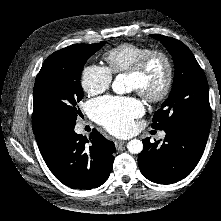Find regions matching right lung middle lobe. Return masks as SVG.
I'll list each match as a JSON object with an SVG mask.
<instances>
[{
	"instance_id": "right-lung-middle-lobe-1",
	"label": "right lung middle lobe",
	"mask_w": 221,
	"mask_h": 221,
	"mask_svg": "<svg viewBox=\"0 0 221 221\" xmlns=\"http://www.w3.org/2000/svg\"><path fill=\"white\" fill-rule=\"evenodd\" d=\"M104 44L71 45L46 59L35 80L33 103L50 125L76 124L84 94L80 84L83 66Z\"/></svg>"
}]
</instances>
